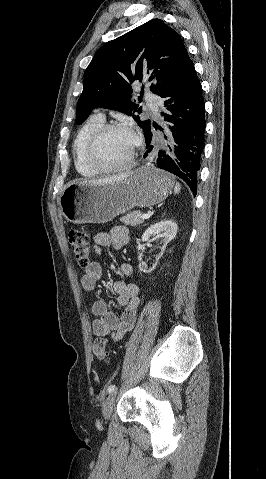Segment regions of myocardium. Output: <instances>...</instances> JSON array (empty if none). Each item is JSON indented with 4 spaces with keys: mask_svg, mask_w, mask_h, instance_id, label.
Masks as SVG:
<instances>
[{
    "mask_svg": "<svg viewBox=\"0 0 266 479\" xmlns=\"http://www.w3.org/2000/svg\"><path fill=\"white\" fill-rule=\"evenodd\" d=\"M112 130H123L130 133L134 138V144L128 158L123 163L116 166L105 167L96 160L95 152H96L97 144L99 140L102 138V136ZM140 145H141L140 137L129 126L121 124V123H104L101 126H99L90 136L85 149V158L88 165L97 173L106 174V173L118 172L121 170L128 169L132 165L136 156L137 149L140 147Z\"/></svg>",
    "mask_w": 266,
    "mask_h": 479,
    "instance_id": "myocardium-1",
    "label": "myocardium"
}]
</instances>
